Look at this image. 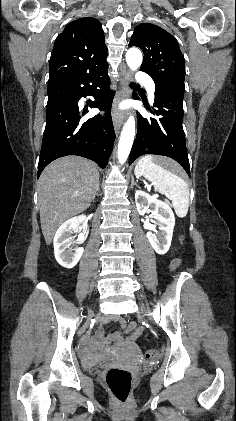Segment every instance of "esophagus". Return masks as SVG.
<instances>
[{"label": "esophagus", "mask_w": 236, "mask_h": 421, "mask_svg": "<svg viewBox=\"0 0 236 421\" xmlns=\"http://www.w3.org/2000/svg\"><path fill=\"white\" fill-rule=\"evenodd\" d=\"M130 78V72L126 71V73L123 75L120 81L121 87L114 98L112 120L116 131H118L119 128L123 125L126 117V112L124 110L119 109V103L121 102V100H123L124 98H129V96L131 95V89L129 87Z\"/></svg>", "instance_id": "34e87169"}]
</instances>
